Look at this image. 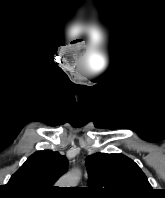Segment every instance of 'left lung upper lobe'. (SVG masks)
<instances>
[{
    "label": "left lung upper lobe",
    "instance_id": "5c2ea615",
    "mask_svg": "<svg viewBox=\"0 0 165 198\" xmlns=\"http://www.w3.org/2000/svg\"><path fill=\"white\" fill-rule=\"evenodd\" d=\"M85 163L89 189L99 198H148L153 192L139 166L123 154L95 153Z\"/></svg>",
    "mask_w": 165,
    "mask_h": 198
}]
</instances>
